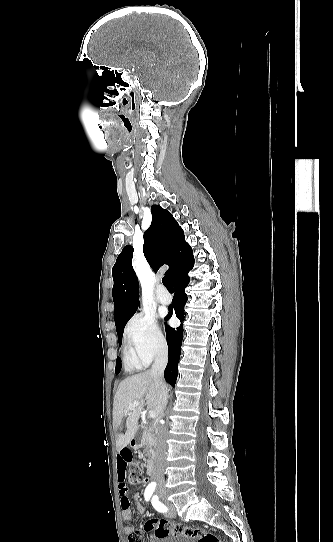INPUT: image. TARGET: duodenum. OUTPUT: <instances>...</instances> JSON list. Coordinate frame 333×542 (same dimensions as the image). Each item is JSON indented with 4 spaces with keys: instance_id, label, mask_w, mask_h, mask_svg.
Masks as SVG:
<instances>
[{
    "instance_id": "duodenum-1",
    "label": "duodenum",
    "mask_w": 333,
    "mask_h": 542,
    "mask_svg": "<svg viewBox=\"0 0 333 542\" xmlns=\"http://www.w3.org/2000/svg\"><path fill=\"white\" fill-rule=\"evenodd\" d=\"M142 445H143V438H141V437H133L130 440V446L132 448H139ZM146 470H147L148 475L153 474V471H154V459L153 458H150L148 460Z\"/></svg>"
}]
</instances>
